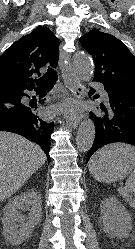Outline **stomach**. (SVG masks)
Wrapping results in <instances>:
<instances>
[{"instance_id":"1","label":"stomach","mask_w":135,"mask_h":249,"mask_svg":"<svg viewBox=\"0 0 135 249\" xmlns=\"http://www.w3.org/2000/svg\"><path fill=\"white\" fill-rule=\"evenodd\" d=\"M134 167L129 159L110 155L91 164L89 171L95 179L111 183L125 178Z\"/></svg>"}]
</instances>
